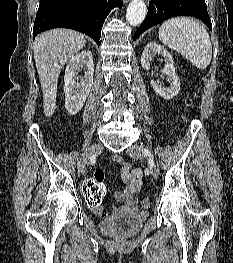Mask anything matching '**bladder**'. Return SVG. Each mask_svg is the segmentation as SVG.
I'll use <instances>...</instances> for the list:
<instances>
[{"label": "bladder", "mask_w": 233, "mask_h": 263, "mask_svg": "<svg viewBox=\"0 0 233 263\" xmlns=\"http://www.w3.org/2000/svg\"><path fill=\"white\" fill-rule=\"evenodd\" d=\"M147 216L148 213L146 211L127 208L103 219L100 223V228L107 235L130 237L136 233Z\"/></svg>", "instance_id": "31cf9c89"}]
</instances>
